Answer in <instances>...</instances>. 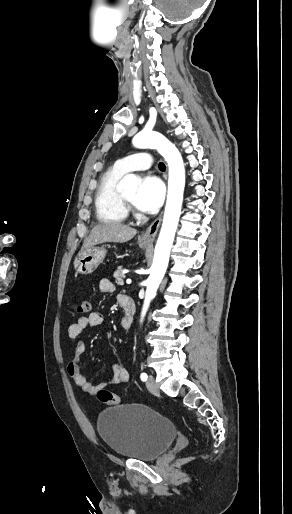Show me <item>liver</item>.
I'll list each match as a JSON object with an SVG mask.
<instances>
[{
  "label": "liver",
  "instance_id": "1",
  "mask_svg": "<svg viewBox=\"0 0 292 514\" xmlns=\"http://www.w3.org/2000/svg\"><path fill=\"white\" fill-rule=\"evenodd\" d=\"M136 234L137 230L124 226V224H119V222H115V224H98V226L92 228L82 246V250L84 248H92L96 244H104V242H120V244H123V242L132 240Z\"/></svg>",
  "mask_w": 292,
  "mask_h": 514
}]
</instances>
